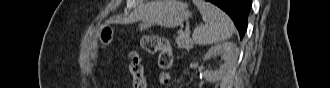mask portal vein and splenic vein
Instances as JSON below:
<instances>
[{"label": "portal vein and splenic vein", "instance_id": "18ae733b", "mask_svg": "<svg viewBox=\"0 0 330 88\" xmlns=\"http://www.w3.org/2000/svg\"><path fill=\"white\" fill-rule=\"evenodd\" d=\"M185 31H186V32H190L189 29H187V28L185 29Z\"/></svg>", "mask_w": 330, "mask_h": 88}]
</instances>
